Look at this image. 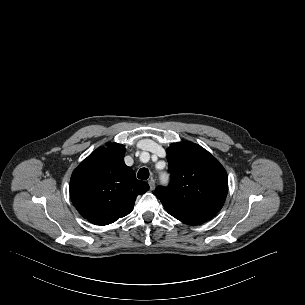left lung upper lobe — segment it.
<instances>
[{
    "label": "left lung upper lobe",
    "instance_id": "1",
    "mask_svg": "<svg viewBox=\"0 0 305 305\" xmlns=\"http://www.w3.org/2000/svg\"><path fill=\"white\" fill-rule=\"evenodd\" d=\"M166 152L171 184L158 186L155 195L167 212L180 221L204 223L213 218L223 207L228 192L223 166L191 142L174 143Z\"/></svg>",
    "mask_w": 305,
    "mask_h": 305
}]
</instances>
